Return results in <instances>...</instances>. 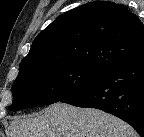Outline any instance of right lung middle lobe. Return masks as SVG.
Here are the masks:
<instances>
[{"mask_svg": "<svg viewBox=\"0 0 144 137\" xmlns=\"http://www.w3.org/2000/svg\"><path fill=\"white\" fill-rule=\"evenodd\" d=\"M106 71L77 62H50L19 68L12 86V111L62 101L99 79Z\"/></svg>", "mask_w": 144, "mask_h": 137, "instance_id": "1", "label": "right lung middle lobe"}]
</instances>
